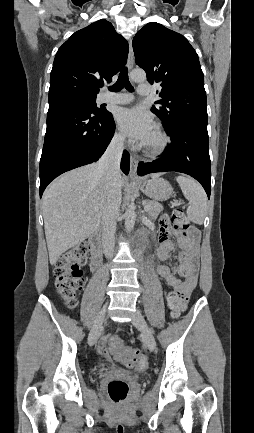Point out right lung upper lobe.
<instances>
[{
    "label": "right lung upper lobe",
    "instance_id": "right-lung-upper-lobe-1",
    "mask_svg": "<svg viewBox=\"0 0 254 433\" xmlns=\"http://www.w3.org/2000/svg\"><path fill=\"white\" fill-rule=\"evenodd\" d=\"M128 43L107 20L75 32L56 53L50 75L49 104L94 99L103 82L125 65Z\"/></svg>",
    "mask_w": 254,
    "mask_h": 433
}]
</instances>
